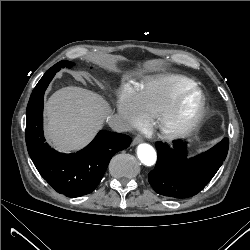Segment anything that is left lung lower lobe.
<instances>
[{
    "mask_svg": "<svg viewBox=\"0 0 250 250\" xmlns=\"http://www.w3.org/2000/svg\"><path fill=\"white\" fill-rule=\"evenodd\" d=\"M229 141L224 138L207 152L186 157V143L175 141L173 148L156 143L157 163L148 180L160 195L187 198L200 192L216 174L228 152Z\"/></svg>",
    "mask_w": 250,
    "mask_h": 250,
    "instance_id": "1",
    "label": "left lung lower lobe"
}]
</instances>
